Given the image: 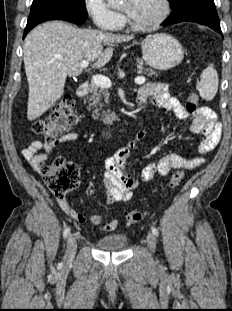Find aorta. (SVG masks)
Returning <instances> with one entry per match:
<instances>
[{
  "mask_svg": "<svg viewBox=\"0 0 232 311\" xmlns=\"http://www.w3.org/2000/svg\"><path fill=\"white\" fill-rule=\"evenodd\" d=\"M108 4L111 6L119 5L121 0H107Z\"/></svg>",
  "mask_w": 232,
  "mask_h": 311,
  "instance_id": "1",
  "label": "aorta"
}]
</instances>
